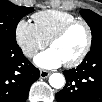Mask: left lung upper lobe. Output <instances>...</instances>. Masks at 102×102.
Listing matches in <instances>:
<instances>
[{
  "instance_id": "left-lung-upper-lobe-1",
  "label": "left lung upper lobe",
  "mask_w": 102,
  "mask_h": 102,
  "mask_svg": "<svg viewBox=\"0 0 102 102\" xmlns=\"http://www.w3.org/2000/svg\"><path fill=\"white\" fill-rule=\"evenodd\" d=\"M80 14L92 31L91 49L102 47V17L88 9L81 10Z\"/></svg>"
}]
</instances>
